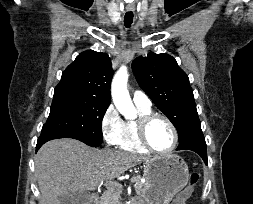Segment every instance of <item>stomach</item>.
I'll use <instances>...</instances> for the list:
<instances>
[{"label":"stomach","instance_id":"obj_1","mask_svg":"<svg viewBox=\"0 0 253 204\" xmlns=\"http://www.w3.org/2000/svg\"><path fill=\"white\" fill-rule=\"evenodd\" d=\"M144 178L145 204H169L188 183V165L175 154L154 157L145 163Z\"/></svg>","mask_w":253,"mask_h":204}]
</instances>
